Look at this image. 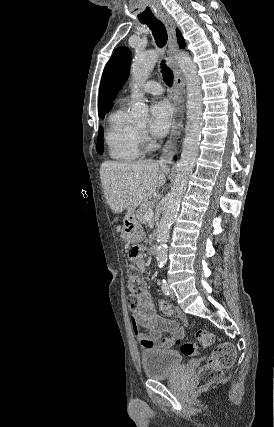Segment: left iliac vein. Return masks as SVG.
Here are the masks:
<instances>
[{
    "instance_id": "1",
    "label": "left iliac vein",
    "mask_w": 274,
    "mask_h": 427,
    "mask_svg": "<svg viewBox=\"0 0 274 427\" xmlns=\"http://www.w3.org/2000/svg\"><path fill=\"white\" fill-rule=\"evenodd\" d=\"M170 296L175 297V293H174L173 289H170Z\"/></svg>"
}]
</instances>
